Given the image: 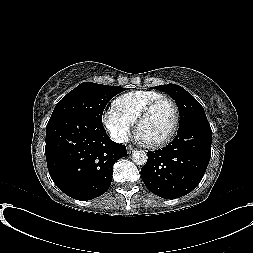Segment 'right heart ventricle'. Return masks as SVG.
Wrapping results in <instances>:
<instances>
[{
    "label": "right heart ventricle",
    "instance_id": "right-heart-ventricle-1",
    "mask_svg": "<svg viewBox=\"0 0 253 253\" xmlns=\"http://www.w3.org/2000/svg\"><path fill=\"white\" fill-rule=\"evenodd\" d=\"M163 97L159 92L152 90H136L119 96L115 102V108L131 123H135L144 107L151 101Z\"/></svg>",
    "mask_w": 253,
    "mask_h": 253
}]
</instances>
